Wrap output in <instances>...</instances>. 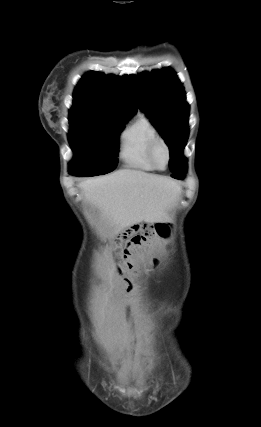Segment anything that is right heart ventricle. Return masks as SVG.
Returning a JSON list of instances; mask_svg holds the SVG:
<instances>
[{
	"label": "right heart ventricle",
	"mask_w": 261,
	"mask_h": 427,
	"mask_svg": "<svg viewBox=\"0 0 261 427\" xmlns=\"http://www.w3.org/2000/svg\"><path fill=\"white\" fill-rule=\"evenodd\" d=\"M159 137L150 118L140 113L120 133L118 155L128 168L151 172L156 170L149 159V146Z\"/></svg>",
	"instance_id": "obj_1"
}]
</instances>
